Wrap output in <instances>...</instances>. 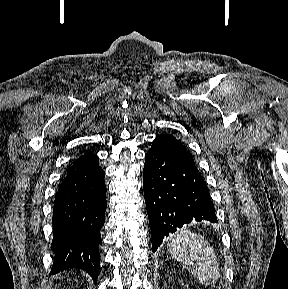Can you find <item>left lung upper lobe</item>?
<instances>
[{"label":"left lung upper lobe","mask_w":288,"mask_h":289,"mask_svg":"<svg viewBox=\"0 0 288 289\" xmlns=\"http://www.w3.org/2000/svg\"><path fill=\"white\" fill-rule=\"evenodd\" d=\"M157 139L167 141L176 151L179 152L180 155L194 163L193 157L189 154L181 140L176 139L172 135H159Z\"/></svg>","instance_id":"5c2ea615"}]
</instances>
